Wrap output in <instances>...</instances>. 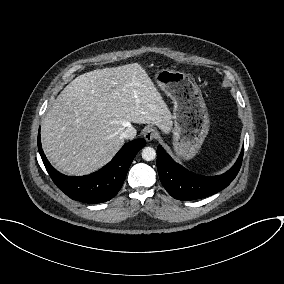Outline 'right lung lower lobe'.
Here are the masks:
<instances>
[{"label": "right lung lower lobe", "instance_id": "right-lung-lower-lobe-1", "mask_svg": "<svg viewBox=\"0 0 284 284\" xmlns=\"http://www.w3.org/2000/svg\"><path fill=\"white\" fill-rule=\"evenodd\" d=\"M37 142L42 161L54 183L71 199L92 204L106 202L117 194L134 157L146 144L144 139L131 141L100 170L90 175L72 177L59 173L48 162L42 150L40 132Z\"/></svg>", "mask_w": 284, "mask_h": 284}]
</instances>
